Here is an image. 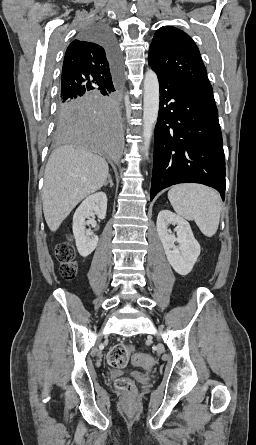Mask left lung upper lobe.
Masks as SVG:
<instances>
[{
    "label": "left lung upper lobe",
    "instance_id": "5c2ea615",
    "mask_svg": "<svg viewBox=\"0 0 256 445\" xmlns=\"http://www.w3.org/2000/svg\"><path fill=\"white\" fill-rule=\"evenodd\" d=\"M148 62L157 75L177 77L192 87L213 93L199 49L188 34L177 28L158 29Z\"/></svg>",
    "mask_w": 256,
    "mask_h": 445
}]
</instances>
